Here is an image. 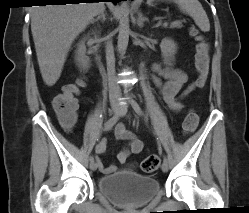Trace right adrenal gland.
Listing matches in <instances>:
<instances>
[{
  "label": "right adrenal gland",
  "instance_id": "right-adrenal-gland-1",
  "mask_svg": "<svg viewBox=\"0 0 249 213\" xmlns=\"http://www.w3.org/2000/svg\"><path fill=\"white\" fill-rule=\"evenodd\" d=\"M102 19V21H105V10L102 12V13H100L95 19H93L92 21H91V23H94V22H97L98 20H101Z\"/></svg>",
  "mask_w": 249,
  "mask_h": 213
}]
</instances>
